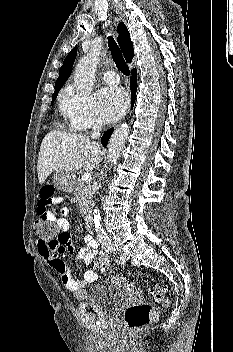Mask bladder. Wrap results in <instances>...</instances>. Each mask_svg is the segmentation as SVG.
<instances>
[{
  "instance_id": "obj_1",
  "label": "bladder",
  "mask_w": 233,
  "mask_h": 352,
  "mask_svg": "<svg viewBox=\"0 0 233 352\" xmlns=\"http://www.w3.org/2000/svg\"><path fill=\"white\" fill-rule=\"evenodd\" d=\"M126 300L122 288L111 281L96 284L87 299V303L101 313L114 316Z\"/></svg>"
}]
</instances>
